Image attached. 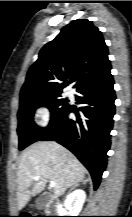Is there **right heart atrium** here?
Returning <instances> with one entry per match:
<instances>
[{
    "label": "right heart atrium",
    "instance_id": "d8ad5b80",
    "mask_svg": "<svg viewBox=\"0 0 132 217\" xmlns=\"http://www.w3.org/2000/svg\"><path fill=\"white\" fill-rule=\"evenodd\" d=\"M37 114L39 118V124L42 127H46L51 121V110L45 105H41L37 108Z\"/></svg>",
    "mask_w": 132,
    "mask_h": 217
}]
</instances>
